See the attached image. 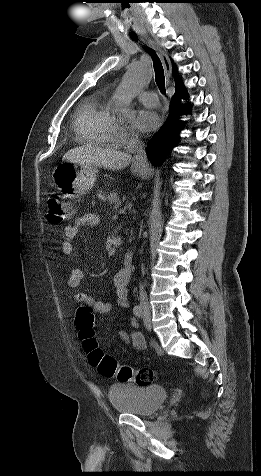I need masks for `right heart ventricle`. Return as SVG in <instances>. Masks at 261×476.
<instances>
[{"label": "right heart ventricle", "instance_id": "obj_1", "mask_svg": "<svg viewBox=\"0 0 261 476\" xmlns=\"http://www.w3.org/2000/svg\"><path fill=\"white\" fill-rule=\"evenodd\" d=\"M115 127L105 93H94L85 98L75 116V130L81 142L112 145Z\"/></svg>", "mask_w": 261, "mask_h": 476}]
</instances>
